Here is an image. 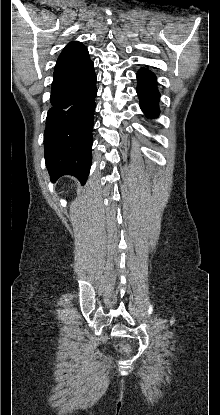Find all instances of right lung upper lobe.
<instances>
[{
	"instance_id": "1",
	"label": "right lung upper lobe",
	"mask_w": 220,
	"mask_h": 415,
	"mask_svg": "<svg viewBox=\"0 0 220 415\" xmlns=\"http://www.w3.org/2000/svg\"><path fill=\"white\" fill-rule=\"evenodd\" d=\"M89 59L88 50L83 44L80 42H71L63 49L58 57L53 75L75 68Z\"/></svg>"
}]
</instances>
